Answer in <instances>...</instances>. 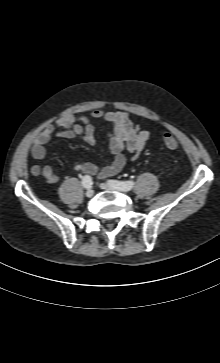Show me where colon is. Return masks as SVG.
I'll use <instances>...</instances> for the list:
<instances>
[{"instance_id": "obj_1", "label": "colon", "mask_w": 220, "mask_h": 363, "mask_svg": "<svg viewBox=\"0 0 220 363\" xmlns=\"http://www.w3.org/2000/svg\"><path fill=\"white\" fill-rule=\"evenodd\" d=\"M163 141H164V144L165 146L168 148V149H176L177 146H178V143H177V140L175 139V137L170 134V133H165L163 135Z\"/></svg>"}]
</instances>
